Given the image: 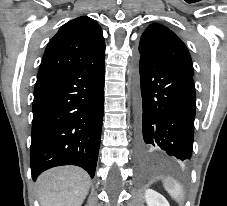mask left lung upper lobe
I'll return each instance as SVG.
<instances>
[{"label":"left lung upper lobe","mask_w":227,"mask_h":206,"mask_svg":"<svg viewBox=\"0 0 227 206\" xmlns=\"http://www.w3.org/2000/svg\"><path fill=\"white\" fill-rule=\"evenodd\" d=\"M140 58L167 64L194 74L190 54L185 44L167 27L151 24L142 34Z\"/></svg>","instance_id":"obj_1"}]
</instances>
